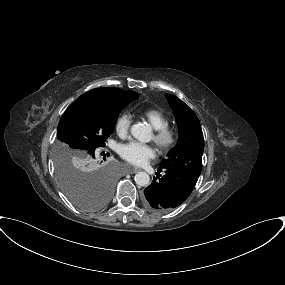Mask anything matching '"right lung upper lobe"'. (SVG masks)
Listing matches in <instances>:
<instances>
[{"mask_svg":"<svg viewBox=\"0 0 285 285\" xmlns=\"http://www.w3.org/2000/svg\"><path fill=\"white\" fill-rule=\"evenodd\" d=\"M127 92L118 88H96L86 92L85 94L81 95L78 100L81 99H92V100H104L111 96H114L119 93Z\"/></svg>","mask_w":285,"mask_h":285,"instance_id":"1","label":"right lung upper lobe"}]
</instances>
